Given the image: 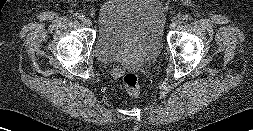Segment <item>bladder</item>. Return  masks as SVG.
Segmentation results:
<instances>
[{
	"label": "bladder",
	"instance_id": "bladder-1",
	"mask_svg": "<svg viewBox=\"0 0 253 131\" xmlns=\"http://www.w3.org/2000/svg\"><path fill=\"white\" fill-rule=\"evenodd\" d=\"M94 53L105 64L152 59L163 48L160 0H105L96 10Z\"/></svg>",
	"mask_w": 253,
	"mask_h": 131
}]
</instances>
